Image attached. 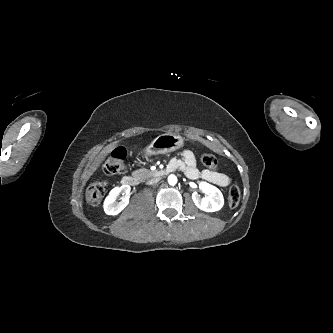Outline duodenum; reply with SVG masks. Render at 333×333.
I'll return each mask as SVG.
<instances>
[{"label": "duodenum", "instance_id": "1", "mask_svg": "<svg viewBox=\"0 0 333 333\" xmlns=\"http://www.w3.org/2000/svg\"><path fill=\"white\" fill-rule=\"evenodd\" d=\"M176 170V167L174 165L168 164L165 168L160 169L156 172V174L160 177L166 176L169 173ZM122 184L127 186H136L138 185V179L134 175H126L122 178Z\"/></svg>", "mask_w": 333, "mask_h": 333}]
</instances>
